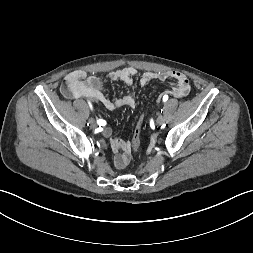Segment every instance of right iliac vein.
Returning a JSON list of instances; mask_svg holds the SVG:
<instances>
[{
    "mask_svg": "<svg viewBox=\"0 0 253 253\" xmlns=\"http://www.w3.org/2000/svg\"><path fill=\"white\" fill-rule=\"evenodd\" d=\"M88 123H89L90 127H92V128L97 126V123L93 119H89Z\"/></svg>",
    "mask_w": 253,
    "mask_h": 253,
    "instance_id": "obj_1",
    "label": "right iliac vein"
}]
</instances>
